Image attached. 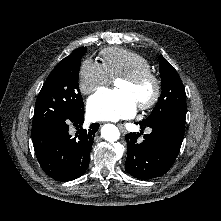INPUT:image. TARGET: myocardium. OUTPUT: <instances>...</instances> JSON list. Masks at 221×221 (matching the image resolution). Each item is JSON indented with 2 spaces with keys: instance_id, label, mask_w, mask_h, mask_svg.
Instances as JSON below:
<instances>
[{
  "instance_id": "myocardium-1",
  "label": "myocardium",
  "mask_w": 221,
  "mask_h": 221,
  "mask_svg": "<svg viewBox=\"0 0 221 221\" xmlns=\"http://www.w3.org/2000/svg\"><path fill=\"white\" fill-rule=\"evenodd\" d=\"M128 83L139 85L149 81L152 84L153 91L151 96L138 105L140 110H148L152 108L159 100L161 95V81L156 73L152 70H141L118 78Z\"/></svg>"
}]
</instances>
